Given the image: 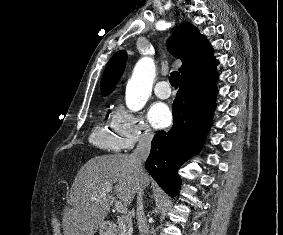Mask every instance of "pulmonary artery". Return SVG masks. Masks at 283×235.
<instances>
[{
  "label": "pulmonary artery",
  "mask_w": 283,
  "mask_h": 235,
  "mask_svg": "<svg viewBox=\"0 0 283 235\" xmlns=\"http://www.w3.org/2000/svg\"><path fill=\"white\" fill-rule=\"evenodd\" d=\"M155 95L160 99H167L171 96L172 92L168 85V82L163 80L156 84L154 88Z\"/></svg>",
  "instance_id": "pulmonary-artery-1"
}]
</instances>
